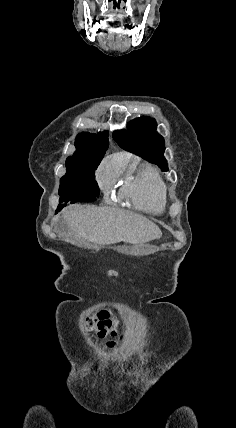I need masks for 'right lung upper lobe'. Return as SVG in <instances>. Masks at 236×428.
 <instances>
[{
	"mask_svg": "<svg viewBox=\"0 0 236 428\" xmlns=\"http://www.w3.org/2000/svg\"><path fill=\"white\" fill-rule=\"evenodd\" d=\"M108 132L82 133L76 138L77 150L66 160V167L97 168L108 148Z\"/></svg>",
	"mask_w": 236,
	"mask_h": 428,
	"instance_id": "right-lung-upper-lobe-1",
	"label": "right lung upper lobe"
}]
</instances>
